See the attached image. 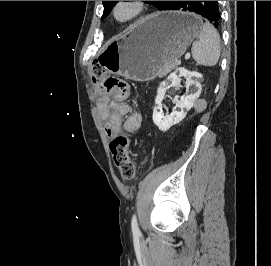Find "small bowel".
Instances as JSON below:
<instances>
[{"label":"small bowel","mask_w":271,"mask_h":266,"mask_svg":"<svg viewBox=\"0 0 271 266\" xmlns=\"http://www.w3.org/2000/svg\"><path fill=\"white\" fill-rule=\"evenodd\" d=\"M125 99L111 97L108 93H100L97 108L100 117L105 121V132L109 137H113L121 129L135 133L141 127L142 115L133 111Z\"/></svg>","instance_id":"small-bowel-1"}]
</instances>
